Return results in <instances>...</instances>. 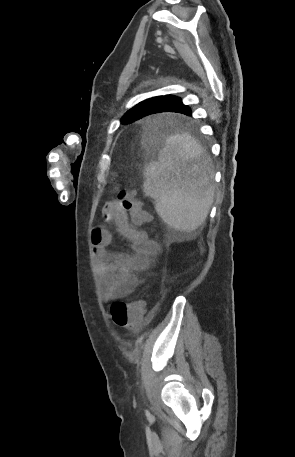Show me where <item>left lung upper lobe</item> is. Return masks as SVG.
<instances>
[{
	"mask_svg": "<svg viewBox=\"0 0 295 457\" xmlns=\"http://www.w3.org/2000/svg\"><path fill=\"white\" fill-rule=\"evenodd\" d=\"M169 97H171V95L156 96L146 99L128 110L127 113L122 117L121 121L127 124L134 122L144 116L150 115L151 110L156 105L160 104L162 101L166 100Z\"/></svg>",
	"mask_w": 295,
	"mask_h": 457,
	"instance_id": "5c2ea615",
	"label": "left lung upper lobe"
}]
</instances>
